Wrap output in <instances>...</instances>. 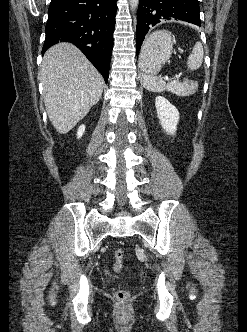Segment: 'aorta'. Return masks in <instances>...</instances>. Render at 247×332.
I'll use <instances>...</instances> for the list:
<instances>
[{
	"label": "aorta",
	"mask_w": 247,
	"mask_h": 332,
	"mask_svg": "<svg viewBox=\"0 0 247 332\" xmlns=\"http://www.w3.org/2000/svg\"><path fill=\"white\" fill-rule=\"evenodd\" d=\"M129 1H130L131 10L134 11L138 7L139 0H129Z\"/></svg>",
	"instance_id": "obj_1"
}]
</instances>
